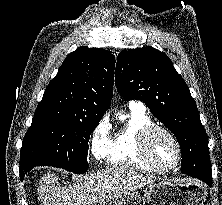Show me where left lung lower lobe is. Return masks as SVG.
<instances>
[{
	"mask_svg": "<svg viewBox=\"0 0 222 205\" xmlns=\"http://www.w3.org/2000/svg\"><path fill=\"white\" fill-rule=\"evenodd\" d=\"M206 168V163L193 151L182 153L181 172L195 178H199L203 169ZM203 181V180H202ZM211 186L212 179L204 181Z\"/></svg>",
	"mask_w": 222,
	"mask_h": 205,
	"instance_id": "obj_1",
	"label": "left lung lower lobe"
}]
</instances>
